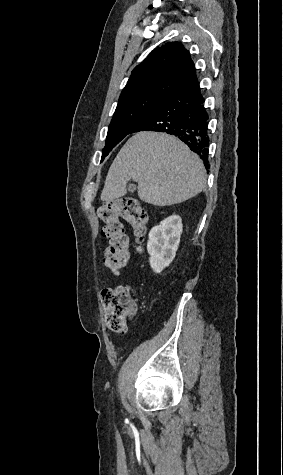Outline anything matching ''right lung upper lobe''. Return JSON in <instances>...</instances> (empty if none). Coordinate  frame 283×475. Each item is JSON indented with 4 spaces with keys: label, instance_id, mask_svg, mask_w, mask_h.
I'll list each match as a JSON object with an SVG mask.
<instances>
[{
    "label": "right lung upper lobe",
    "instance_id": "1",
    "mask_svg": "<svg viewBox=\"0 0 283 475\" xmlns=\"http://www.w3.org/2000/svg\"><path fill=\"white\" fill-rule=\"evenodd\" d=\"M197 79L188 51L179 42H168L155 49L136 66L119 101L159 89H172Z\"/></svg>",
    "mask_w": 283,
    "mask_h": 475
}]
</instances>
